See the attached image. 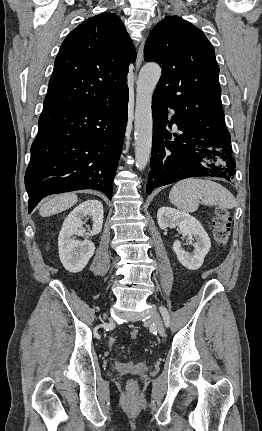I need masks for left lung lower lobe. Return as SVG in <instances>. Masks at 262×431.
Listing matches in <instances>:
<instances>
[{
  "mask_svg": "<svg viewBox=\"0 0 262 431\" xmlns=\"http://www.w3.org/2000/svg\"><path fill=\"white\" fill-rule=\"evenodd\" d=\"M169 103L154 93L152 100L153 142L147 194L154 188L189 177H223L230 181L235 174L231 138L228 131L206 136L184 125L175 114L168 118ZM171 108V107H170ZM176 123L181 134L166 129Z\"/></svg>",
  "mask_w": 262,
  "mask_h": 431,
  "instance_id": "0a47b994",
  "label": "left lung lower lobe"
}]
</instances>
